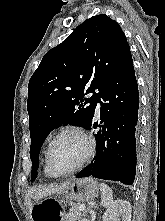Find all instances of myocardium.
Returning <instances> with one entry per match:
<instances>
[{
  "label": "myocardium",
  "mask_w": 165,
  "mask_h": 221,
  "mask_svg": "<svg viewBox=\"0 0 165 221\" xmlns=\"http://www.w3.org/2000/svg\"><path fill=\"white\" fill-rule=\"evenodd\" d=\"M67 133H76L78 135H80L85 143H86V151L85 154L83 156V158L72 168L65 170V171H57L54 169V167L51 164L50 161V150L51 147L53 145V143L62 135L67 134ZM94 149H95V144L94 141L92 139V137L88 134V132L80 127V126H67L61 130H59L48 142L46 150H45V154H44V159H45V163L46 166L48 168V170L54 175V176H65V175H69L72 174L76 171H78L79 169H81L92 157L93 153H94Z\"/></svg>",
  "instance_id": "f54148a6"
}]
</instances>
